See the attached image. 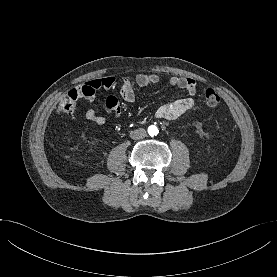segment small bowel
I'll return each instance as SVG.
<instances>
[{"label":"small bowel","instance_id":"1","mask_svg":"<svg viewBox=\"0 0 277 277\" xmlns=\"http://www.w3.org/2000/svg\"><path fill=\"white\" fill-rule=\"evenodd\" d=\"M160 82V77L156 74H138L134 77H124L121 81L119 94L121 98L128 103L136 100L135 87H146L150 85H157ZM116 84L115 78L108 76L98 79H93L86 82L79 89L82 91L81 97L89 103H93L96 97V92L100 89L109 90ZM171 86L185 90L188 97L176 99L170 103L163 104L156 112L155 116L159 119L168 121L176 120L194 106V99L197 92V85L194 79L173 76L169 79ZM106 109L109 113L118 116L121 112L120 103L116 96L110 95L105 101ZM86 118L98 125L106 123V117L97 114V112L90 108L86 111Z\"/></svg>","mask_w":277,"mask_h":277}]
</instances>
